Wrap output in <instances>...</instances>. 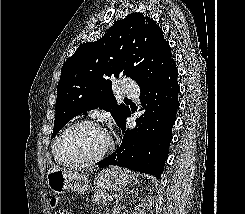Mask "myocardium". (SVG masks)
Returning a JSON list of instances; mask_svg holds the SVG:
<instances>
[{
    "instance_id": "obj_1",
    "label": "myocardium",
    "mask_w": 245,
    "mask_h": 214,
    "mask_svg": "<svg viewBox=\"0 0 245 214\" xmlns=\"http://www.w3.org/2000/svg\"><path fill=\"white\" fill-rule=\"evenodd\" d=\"M83 125L95 127V128H97V129H99L105 133V135L107 137V144L104 147V149L100 153H98L97 155L90 157V158H85V159H64V158L60 157V155L58 153V148H59V145H60L62 139L71 130H73L74 128H77L79 126H83ZM113 146H114V142H113L111 135L98 122L91 120V119H84V120H80V121L73 123L72 125L67 127L58 136V138L55 140V143L53 145V155H54L55 159L63 165H67V166L90 165V164L97 163V162L101 161L102 159H104L110 153V151L113 149Z\"/></svg>"
}]
</instances>
